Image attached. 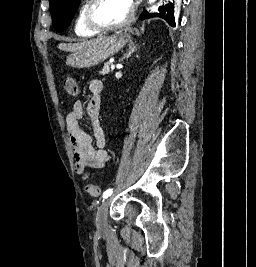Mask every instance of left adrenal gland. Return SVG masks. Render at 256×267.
I'll return each instance as SVG.
<instances>
[{"instance_id": "left-adrenal-gland-1", "label": "left adrenal gland", "mask_w": 256, "mask_h": 267, "mask_svg": "<svg viewBox=\"0 0 256 267\" xmlns=\"http://www.w3.org/2000/svg\"><path fill=\"white\" fill-rule=\"evenodd\" d=\"M136 50H137V44H135V42H132V40H130V44H128V50L126 54H124L123 58H121L120 62H123L125 58H130L131 54H133V52H136Z\"/></svg>"}]
</instances>
